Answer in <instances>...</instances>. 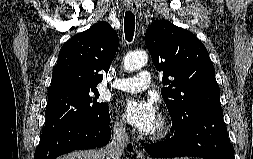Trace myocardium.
Listing matches in <instances>:
<instances>
[{"label":"myocardium","instance_id":"obj_1","mask_svg":"<svg viewBox=\"0 0 253 159\" xmlns=\"http://www.w3.org/2000/svg\"><path fill=\"white\" fill-rule=\"evenodd\" d=\"M171 129H172V126L168 118L165 115L161 114L159 115L157 119V125H156L155 130L150 132L148 134V137L151 140L164 139L171 132Z\"/></svg>","mask_w":253,"mask_h":159}]
</instances>
